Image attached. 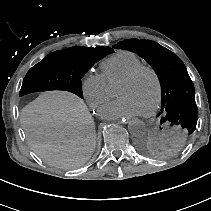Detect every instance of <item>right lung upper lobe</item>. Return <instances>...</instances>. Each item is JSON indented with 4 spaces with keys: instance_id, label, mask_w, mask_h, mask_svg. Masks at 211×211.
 <instances>
[{
    "instance_id": "cb5924a9",
    "label": "right lung upper lobe",
    "mask_w": 211,
    "mask_h": 211,
    "mask_svg": "<svg viewBox=\"0 0 211 211\" xmlns=\"http://www.w3.org/2000/svg\"><path fill=\"white\" fill-rule=\"evenodd\" d=\"M81 48H84V49H87L89 51H101V52H104V53H113L114 50L110 47H107V46H98V47H81Z\"/></svg>"
}]
</instances>
